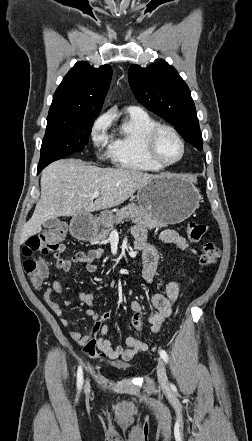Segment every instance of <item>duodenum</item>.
Masks as SVG:
<instances>
[{"mask_svg": "<svg viewBox=\"0 0 252 441\" xmlns=\"http://www.w3.org/2000/svg\"><path fill=\"white\" fill-rule=\"evenodd\" d=\"M71 232L77 239H91L94 236L92 221L87 218L75 219L71 224Z\"/></svg>", "mask_w": 252, "mask_h": 441, "instance_id": "duodenum-1", "label": "duodenum"}]
</instances>
